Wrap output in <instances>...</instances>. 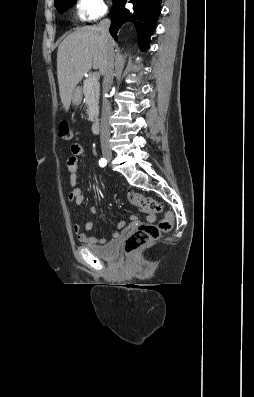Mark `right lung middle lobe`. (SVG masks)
I'll list each match as a JSON object with an SVG mask.
<instances>
[{
    "instance_id": "right-lung-middle-lobe-1",
    "label": "right lung middle lobe",
    "mask_w": 254,
    "mask_h": 397,
    "mask_svg": "<svg viewBox=\"0 0 254 397\" xmlns=\"http://www.w3.org/2000/svg\"><path fill=\"white\" fill-rule=\"evenodd\" d=\"M76 0H56L54 6L60 13H63L67 8L72 6Z\"/></svg>"
}]
</instances>
